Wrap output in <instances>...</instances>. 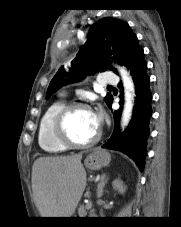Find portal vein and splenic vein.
Instances as JSON below:
<instances>
[{"instance_id":"18ae733b","label":"portal vein and splenic vein","mask_w":181,"mask_h":227,"mask_svg":"<svg viewBox=\"0 0 181 227\" xmlns=\"http://www.w3.org/2000/svg\"><path fill=\"white\" fill-rule=\"evenodd\" d=\"M86 208H87V209H91V208H92V202H91V201H88V202H87Z\"/></svg>"}]
</instances>
